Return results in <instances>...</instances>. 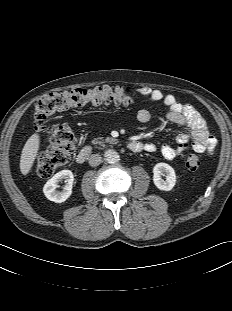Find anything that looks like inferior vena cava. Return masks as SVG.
<instances>
[{"label": "inferior vena cava", "instance_id": "obj_1", "mask_svg": "<svg viewBox=\"0 0 232 311\" xmlns=\"http://www.w3.org/2000/svg\"><path fill=\"white\" fill-rule=\"evenodd\" d=\"M102 161V157L99 154H92L89 157V165L90 166H98Z\"/></svg>", "mask_w": 232, "mask_h": 311}]
</instances>
